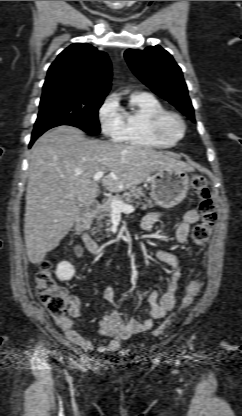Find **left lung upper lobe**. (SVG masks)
I'll use <instances>...</instances> for the list:
<instances>
[{
  "label": "left lung upper lobe",
  "mask_w": 242,
  "mask_h": 416,
  "mask_svg": "<svg viewBox=\"0 0 242 416\" xmlns=\"http://www.w3.org/2000/svg\"><path fill=\"white\" fill-rule=\"evenodd\" d=\"M124 56L133 73L144 84L195 122L181 68L166 50L156 45L144 50L128 49Z\"/></svg>",
  "instance_id": "obj_1"
}]
</instances>
